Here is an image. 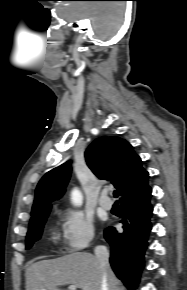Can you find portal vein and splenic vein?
<instances>
[{"instance_id":"1","label":"portal vein and splenic vein","mask_w":187,"mask_h":290,"mask_svg":"<svg viewBox=\"0 0 187 290\" xmlns=\"http://www.w3.org/2000/svg\"><path fill=\"white\" fill-rule=\"evenodd\" d=\"M68 289L69 290H76L77 289V286L76 285H69L68 286Z\"/></svg>"}]
</instances>
